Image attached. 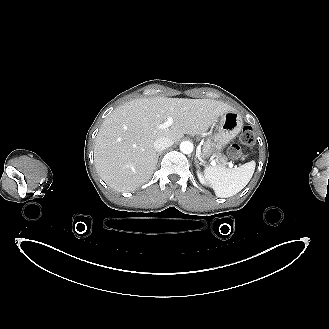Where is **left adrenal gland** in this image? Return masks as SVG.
Listing matches in <instances>:
<instances>
[{
	"label": "left adrenal gland",
	"mask_w": 329,
	"mask_h": 329,
	"mask_svg": "<svg viewBox=\"0 0 329 329\" xmlns=\"http://www.w3.org/2000/svg\"><path fill=\"white\" fill-rule=\"evenodd\" d=\"M195 164L196 166H199V161L197 160V157L195 158Z\"/></svg>",
	"instance_id": "obj_1"
}]
</instances>
